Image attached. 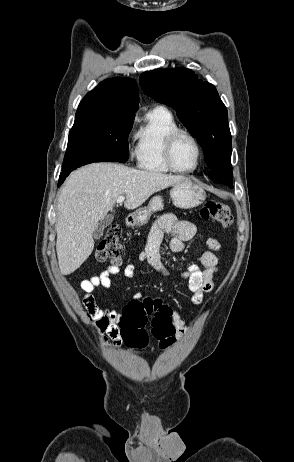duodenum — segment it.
I'll list each match as a JSON object with an SVG mask.
<instances>
[{
  "instance_id": "1",
  "label": "duodenum",
  "mask_w": 294,
  "mask_h": 462,
  "mask_svg": "<svg viewBox=\"0 0 294 462\" xmlns=\"http://www.w3.org/2000/svg\"><path fill=\"white\" fill-rule=\"evenodd\" d=\"M126 220H127V223H128V224H131V222L133 221V218H132V217H128Z\"/></svg>"
}]
</instances>
